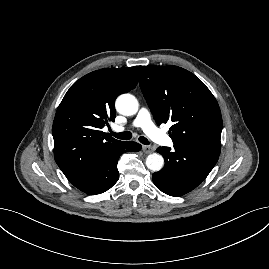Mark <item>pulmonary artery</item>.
<instances>
[{"label": "pulmonary artery", "instance_id": "e3ab8cb5", "mask_svg": "<svg viewBox=\"0 0 269 269\" xmlns=\"http://www.w3.org/2000/svg\"><path fill=\"white\" fill-rule=\"evenodd\" d=\"M133 126L134 127H140L142 128V130L155 142L162 144V145H166V146H171L172 145V140L171 138L163 133L162 131H160L155 124L153 123L152 119H151V114L149 112V110L145 107H142L134 122H133ZM114 131L116 132H121L123 131L125 128L122 126H114Z\"/></svg>", "mask_w": 269, "mask_h": 269}]
</instances>
